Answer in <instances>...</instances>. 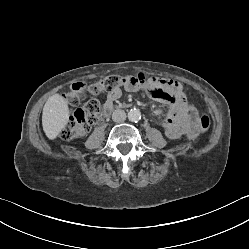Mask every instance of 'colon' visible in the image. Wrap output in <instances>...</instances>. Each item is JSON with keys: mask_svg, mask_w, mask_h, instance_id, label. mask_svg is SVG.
<instances>
[{"mask_svg": "<svg viewBox=\"0 0 249 249\" xmlns=\"http://www.w3.org/2000/svg\"><path fill=\"white\" fill-rule=\"evenodd\" d=\"M141 83L140 79L130 76H107L89 86V92L99 94L104 90H112L116 87ZM86 95V88L83 83H75L65 94L66 100L72 104H78ZM103 112L102 105L97 100L87 101L82 108H78L70 116L67 124L61 132L64 139H76L83 137L89 130L90 126L99 121ZM197 127L200 131L206 132L211 127V120L208 116L203 115L197 120Z\"/></svg>", "mask_w": 249, "mask_h": 249, "instance_id": "5ec220e1", "label": "colon"}]
</instances>
